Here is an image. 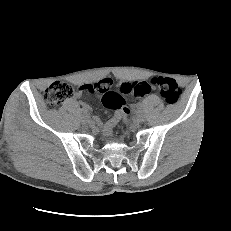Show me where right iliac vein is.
<instances>
[{"label":"right iliac vein","mask_w":231,"mask_h":231,"mask_svg":"<svg viewBox=\"0 0 231 231\" xmlns=\"http://www.w3.org/2000/svg\"><path fill=\"white\" fill-rule=\"evenodd\" d=\"M82 121H83V123H85V124H89V123L91 122L90 116L87 115V114L83 115Z\"/></svg>","instance_id":"right-iliac-vein-1"}]
</instances>
